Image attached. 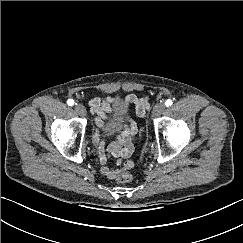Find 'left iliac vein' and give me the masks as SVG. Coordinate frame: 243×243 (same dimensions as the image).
I'll use <instances>...</instances> for the list:
<instances>
[{
    "mask_svg": "<svg viewBox=\"0 0 243 243\" xmlns=\"http://www.w3.org/2000/svg\"><path fill=\"white\" fill-rule=\"evenodd\" d=\"M165 110V105L163 103H158L154 106L153 111H152V116L153 117H158L159 115L162 114V112Z\"/></svg>",
    "mask_w": 243,
    "mask_h": 243,
    "instance_id": "obj_1",
    "label": "left iliac vein"
}]
</instances>
